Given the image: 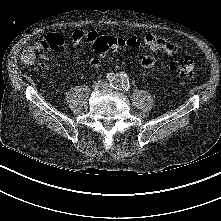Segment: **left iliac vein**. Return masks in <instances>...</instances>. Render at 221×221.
Returning a JSON list of instances; mask_svg holds the SVG:
<instances>
[{
    "label": "left iliac vein",
    "mask_w": 221,
    "mask_h": 221,
    "mask_svg": "<svg viewBox=\"0 0 221 221\" xmlns=\"http://www.w3.org/2000/svg\"><path fill=\"white\" fill-rule=\"evenodd\" d=\"M111 86L109 84H106L105 85V88H110Z\"/></svg>",
    "instance_id": "1"
}]
</instances>
